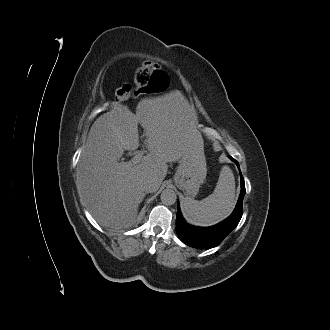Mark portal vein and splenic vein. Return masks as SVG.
Masks as SVG:
<instances>
[{
  "mask_svg": "<svg viewBox=\"0 0 330 330\" xmlns=\"http://www.w3.org/2000/svg\"><path fill=\"white\" fill-rule=\"evenodd\" d=\"M146 151L145 150H141L138 152V154H136L132 159H131V162L134 163V164H137V163H140V161L142 160L143 158V155Z\"/></svg>",
  "mask_w": 330,
  "mask_h": 330,
  "instance_id": "portal-vein-and-splenic-vein-1",
  "label": "portal vein and splenic vein"
}]
</instances>
